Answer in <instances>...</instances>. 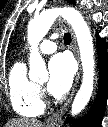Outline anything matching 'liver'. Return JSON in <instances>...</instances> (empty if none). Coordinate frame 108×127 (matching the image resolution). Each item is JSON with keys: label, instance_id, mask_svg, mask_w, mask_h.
<instances>
[{"label": "liver", "instance_id": "liver-1", "mask_svg": "<svg viewBox=\"0 0 108 127\" xmlns=\"http://www.w3.org/2000/svg\"><path fill=\"white\" fill-rule=\"evenodd\" d=\"M5 127H42V122L29 118H14L9 120Z\"/></svg>", "mask_w": 108, "mask_h": 127}]
</instances>
